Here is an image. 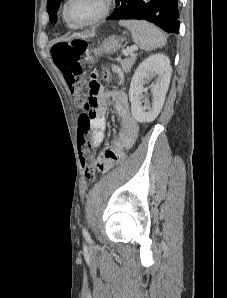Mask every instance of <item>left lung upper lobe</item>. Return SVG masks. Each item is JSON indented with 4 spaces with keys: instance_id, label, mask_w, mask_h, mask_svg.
Segmentation results:
<instances>
[{
    "instance_id": "left-lung-upper-lobe-1",
    "label": "left lung upper lobe",
    "mask_w": 227,
    "mask_h": 298,
    "mask_svg": "<svg viewBox=\"0 0 227 298\" xmlns=\"http://www.w3.org/2000/svg\"><path fill=\"white\" fill-rule=\"evenodd\" d=\"M62 0H48L47 2V11L50 17V22L53 23L56 19V12L60 6Z\"/></svg>"
}]
</instances>
